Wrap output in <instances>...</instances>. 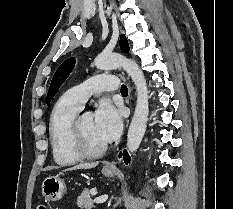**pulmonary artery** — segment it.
Segmentation results:
<instances>
[{
	"mask_svg": "<svg viewBox=\"0 0 233 209\" xmlns=\"http://www.w3.org/2000/svg\"><path fill=\"white\" fill-rule=\"evenodd\" d=\"M117 88L118 78L116 76L101 74L71 88L66 96L70 102L81 109L91 95L115 91Z\"/></svg>",
	"mask_w": 233,
	"mask_h": 209,
	"instance_id": "e3ab8cb5",
	"label": "pulmonary artery"
}]
</instances>
